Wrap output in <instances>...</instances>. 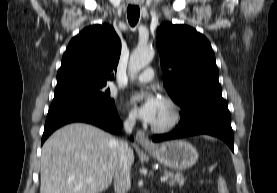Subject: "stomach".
<instances>
[{
	"mask_svg": "<svg viewBox=\"0 0 277 193\" xmlns=\"http://www.w3.org/2000/svg\"><path fill=\"white\" fill-rule=\"evenodd\" d=\"M154 158L174 170H184L198 160L196 148L185 140H171L146 149Z\"/></svg>",
	"mask_w": 277,
	"mask_h": 193,
	"instance_id": "stomach-1",
	"label": "stomach"
}]
</instances>
